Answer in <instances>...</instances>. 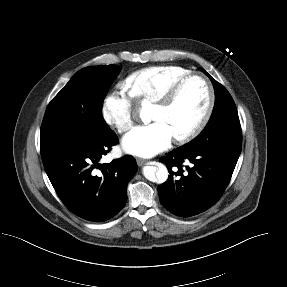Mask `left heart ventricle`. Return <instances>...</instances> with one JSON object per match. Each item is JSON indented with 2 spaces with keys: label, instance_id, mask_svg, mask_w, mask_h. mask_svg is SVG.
<instances>
[{
  "label": "left heart ventricle",
  "instance_id": "1",
  "mask_svg": "<svg viewBox=\"0 0 287 287\" xmlns=\"http://www.w3.org/2000/svg\"><path fill=\"white\" fill-rule=\"evenodd\" d=\"M208 98L205 83L199 78H193L183 86L169 108L155 105L151 120L163 122L173 137L183 135L199 122L207 107Z\"/></svg>",
  "mask_w": 287,
  "mask_h": 287
}]
</instances>
